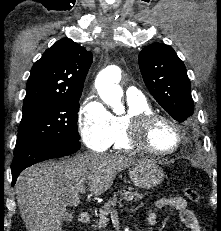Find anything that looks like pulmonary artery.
I'll return each mask as SVG.
<instances>
[{
  "mask_svg": "<svg viewBox=\"0 0 221 231\" xmlns=\"http://www.w3.org/2000/svg\"><path fill=\"white\" fill-rule=\"evenodd\" d=\"M126 95H127L128 100H143V99H145L142 92L135 87H129L126 90Z\"/></svg>",
  "mask_w": 221,
  "mask_h": 231,
  "instance_id": "obj_1",
  "label": "pulmonary artery"
}]
</instances>
